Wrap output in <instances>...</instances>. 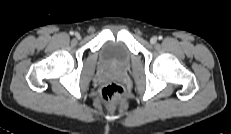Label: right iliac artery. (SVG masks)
Segmentation results:
<instances>
[{
  "mask_svg": "<svg viewBox=\"0 0 231 134\" xmlns=\"http://www.w3.org/2000/svg\"><path fill=\"white\" fill-rule=\"evenodd\" d=\"M70 34H71V35H74V32H73V31H71V32H70Z\"/></svg>",
  "mask_w": 231,
  "mask_h": 134,
  "instance_id": "right-iliac-artery-1",
  "label": "right iliac artery"
}]
</instances>
